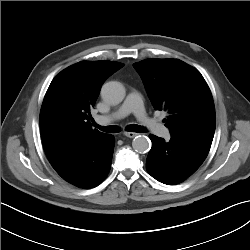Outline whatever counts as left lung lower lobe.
Here are the masks:
<instances>
[{
	"label": "left lung lower lobe",
	"mask_w": 250,
	"mask_h": 250,
	"mask_svg": "<svg viewBox=\"0 0 250 250\" xmlns=\"http://www.w3.org/2000/svg\"><path fill=\"white\" fill-rule=\"evenodd\" d=\"M153 145L146 168L159 182L174 185L192 175L208 155L213 139L171 135L170 141L149 135Z\"/></svg>",
	"instance_id": "obj_1"
}]
</instances>
